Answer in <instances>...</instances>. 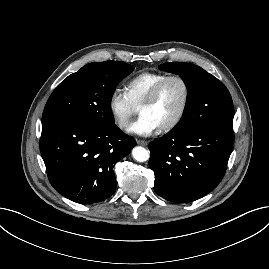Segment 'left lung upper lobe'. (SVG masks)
Here are the masks:
<instances>
[{
  "label": "left lung upper lobe",
  "mask_w": 269,
  "mask_h": 269,
  "mask_svg": "<svg viewBox=\"0 0 269 269\" xmlns=\"http://www.w3.org/2000/svg\"><path fill=\"white\" fill-rule=\"evenodd\" d=\"M159 69L179 75L189 93L183 117L171 132L186 133L211 123L233 122L231 95L213 75L185 62L164 63Z\"/></svg>",
  "instance_id": "obj_1"
}]
</instances>
